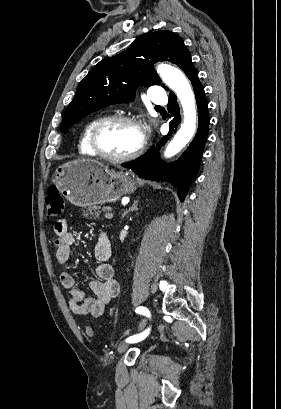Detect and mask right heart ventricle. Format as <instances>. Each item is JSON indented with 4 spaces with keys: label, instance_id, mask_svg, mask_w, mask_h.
Masks as SVG:
<instances>
[{
    "label": "right heart ventricle",
    "instance_id": "e07e8e85",
    "mask_svg": "<svg viewBox=\"0 0 281 409\" xmlns=\"http://www.w3.org/2000/svg\"><path fill=\"white\" fill-rule=\"evenodd\" d=\"M104 115H98L91 118L85 125L79 140V151L82 155L96 157L97 154L92 145V135L97 123L104 118Z\"/></svg>",
    "mask_w": 281,
    "mask_h": 409
}]
</instances>
